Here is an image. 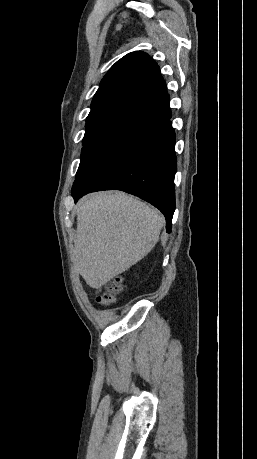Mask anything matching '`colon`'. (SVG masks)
I'll return each instance as SVG.
<instances>
[{
	"mask_svg": "<svg viewBox=\"0 0 257 459\" xmlns=\"http://www.w3.org/2000/svg\"><path fill=\"white\" fill-rule=\"evenodd\" d=\"M122 290V280L120 277H115L103 283L96 301L102 305H109L116 301L117 295Z\"/></svg>",
	"mask_w": 257,
	"mask_h": 459,
	"instance_id": "5ec220e1",
	"label": "colon"
}]
</instances>
